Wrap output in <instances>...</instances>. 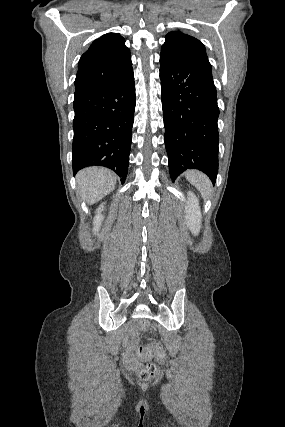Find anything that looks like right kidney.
Returning <instances> with one entry per match:
<instances>
[{
  "label": "right kidney",
  "mask_w": 285,
  "mask_h": 427,
  "mask_svg": "<svg viewBox=\"0 0 285 427\" xmlns=\"http://www.w3.org/2000/svg\"><path fill=\"white\" fill-rule=\"evenodd\" d=\"M103 205L104 204H101L99 206V208L96 210V216L94 218V232H95V234L98 232L99 227H100V225L102 223V220L104 218L103 215H102V211L104 210V206Z\"/></svg>",
  "instance_id": "1"
}]
</instances>
